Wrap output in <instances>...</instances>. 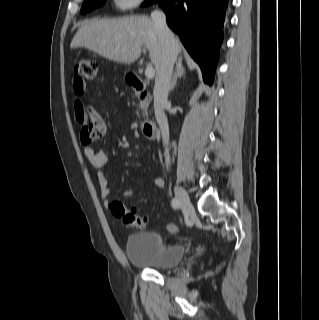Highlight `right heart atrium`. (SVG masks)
I'll use <instances>...</instances> for the list:
<instances>
[{
  "mask_svg": "<svg viewBox=\"0 0 319 320\" xmlns=\"http://www.w3.org/2000/svg\"><path fill=\"white\" fill-rule=\"evenodd\" d=\"M115 6L123 11L131 10L143 2V0H113Z\"/></svg>",
  "mask_w": 319,
  "mask_h": 320,
  "instance_id": "1",
  "label": "right heart atrium"
}]
</instances>
